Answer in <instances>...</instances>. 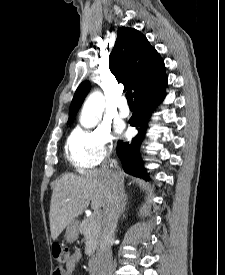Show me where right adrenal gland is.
<instances>
[{
	"label": "right adrenal gland",
	"instance_id": "1",
	"mask_svg": "<svg viewBox=\"0 0 225 275\" xmlns=\"http://www.w3.org/2000/svg\"><path fill=\"white\" fill-rule=\"evenodd\" d=\"M126 205H127V195H124V198H123V200L121 202V206H120L119 217H121L122 214L124 213Z\"/></svg>",
	"mask_w": 225,
	"mask_h": 275
}]
</instances>
